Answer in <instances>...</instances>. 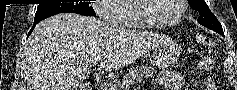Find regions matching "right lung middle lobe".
I'll return each mask as SVG.
<instances>
[{"label": "right lung middle lobe", "mask_w": 237, "mask_h": 90, "mask_svg": "<svg viewBox=\"0 0 237 90\" xmlns=\"http://www.w3.org/2000/svg\"><path fill=\"white\" fill-rule=\"evenodd\" d=\"M77 13L86 16H96L92 6H89L88 2H76V3H59V4H39L34 22H40L41 20L50 17L58 13Z\"/></svg>", "instance_id": "obj_1"}]
</instances>
